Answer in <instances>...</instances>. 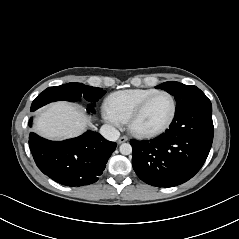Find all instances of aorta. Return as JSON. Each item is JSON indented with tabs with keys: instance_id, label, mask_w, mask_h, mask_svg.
<instances>
[{
	"instance_id": "762f6f07",
	"label": "aorta",
	"mask_w": 239,
	"mask_h": 239,
	"mask_svg": "<svg viewBox=\"0 0 239 239\" xmlns=\"http://www.w3.org/2000/svg\"><path fill=\"white\" fill-rule=\"evenodd\" d=\"M120 153L123 155H129L132 153V146L129 143H123L120 145Z\"/></svg>"
}]
</instances>
